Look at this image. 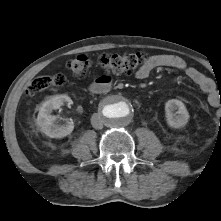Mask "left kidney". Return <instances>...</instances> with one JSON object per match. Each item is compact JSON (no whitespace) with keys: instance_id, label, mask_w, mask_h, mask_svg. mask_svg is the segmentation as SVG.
I'll return each mask as SVG.
<instances>
[{"instance_id":"5707ae66","label":"left kidney","mask_w":221,"mask_h":221,"mask_svg":"<svg viewBox=\"0 0 221 221\" xmlns=\"http://www.w3.org/2000/svg\"><path fill=\"white\" fill-rule=\"evenodd\" d=\"M165 117L170 127L180 129L188 123L189 113L182 101L170 99L165 103Z\"/></svg>"}]
</instances>
